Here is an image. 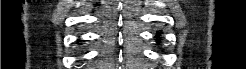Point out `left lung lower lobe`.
Returning a JSON list of instances; mask_svg holds the SVG:
<instances>
[{"label": "left lung lower lobe", "mask_w": 246, "mask_h": 69, "mask_svg": "<svg viewBox=\"0 0 246 69\" xmlns=\"http://www.w3.org/2000/svg\"><path fill=\"white\" fill-rule=\"evenodd\" d=\"M157 37H160V33L159 32L157 33Z\"/></svg>", "instance_id": "1"}]
</instances>
